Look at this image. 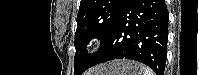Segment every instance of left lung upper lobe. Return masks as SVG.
Instances as JSON below:
<instances>
[{
  "instance_id": "5c2ea615",
  "label": "left lung upper lobe",
  "mask_w": 199,
  "mask_h": 75,
  "mask_svg": "<svg viewBox=\"0 0 199 75\" xmlns=\"http://www.w3.org/2000/svg\"><path fill=\"white\" fill-rule=\"evenodd\" d=\"M127 0H81L75 34L74 73L82 74L96 58L111 35L118 15ZM100 39V48L88 54L86 46L93 38Z\"/></svg>"
}]
</instances>
